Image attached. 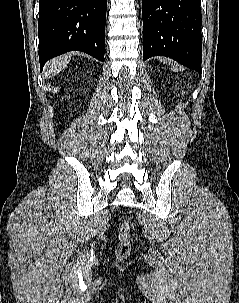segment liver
Wrapping results in <instances>:
<instances>
[{"instance_id":"liver-1","label":"liver","mask_w":239,"mask_h":303,"mask_svg":"<svg viewBox=\"0 0 239 303\" xmlns=\"http://www.w3.org/2000/svg\"><path fill=\"white\" fill-rule=\"evenodd\" d=\"M70 60L71 55H64L62 57L51 60L46 65L45 77L48 79L58 74L62 69L67 66Z\"/></svg>"}]
</instances>
